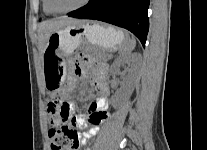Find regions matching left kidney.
Here are the masks:
<instances>
[{"mask_svg":"<svg viewBox=\"0 0 207 150\" xmlns=\"http://www.w3.org/2000/svg\"><path fill=\"white\" fill-rule=\"evenodd\" d=\"M140 59V55L134 53L126 56H120L113 62L111 66V72L113 74H118L120 68L126 64L131 66L129 74L124 78L123 89L117 92L112 100V104L115 108L121 101L125 100L132 94L134 89L135 74L138 69Z\"/></svg>","mask_w":207,"mask_h":150,"instance_id":"5707ae66","label":"left kidney"}]
</instances>
